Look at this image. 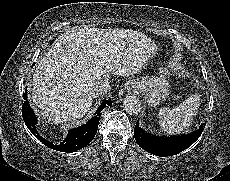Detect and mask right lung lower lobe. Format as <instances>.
Returning a JSON list of instances; mask_svg holds the SVG:
<instances>
[{"label": "right lung lower lobe", "instance_id": "98d812e1", "mask_svg": "<svg viewBox=\"0 0 230 181\" xmlns=\"http://www.w3.org/2000/svg\"><path fill=\"white\" fill-rule=\"evenodd\" d=\"M24 104L22 106V115L28 129L35 135V137L40 140L44 145L61 152H75L79 149L87 146L95 137L97 132L98 123L101 116V111L106 105H111V101L103 102L97 109L95 116L92 117L86 124L72 129L69 131L66 139L60 144H53L43 138L36 129L37 118L34 115L33 110L28 104L26 92L23 94Z\"/></svg>", "mask_w": 230, "mask_h": 181}]
</instances>
